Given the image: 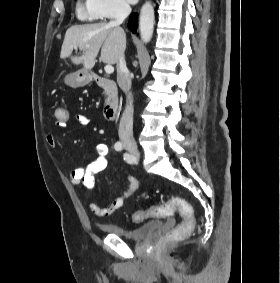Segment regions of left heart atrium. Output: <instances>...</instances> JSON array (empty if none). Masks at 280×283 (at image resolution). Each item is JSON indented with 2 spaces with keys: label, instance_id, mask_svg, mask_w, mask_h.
Segmentation results:
<instances>
[{
  "label": "left heart atrium",
  "instance_id": "left-heart-atrium-1",
  "mask_svg": "<svg viewBox=\"0 0 280 283\" xmlns=\"http://www.w3.org/2000/svg\"><path fill=\"white\" fill-rule=\"evenodd\" d=\"M138 0H128L129 3L135 4Z\"/></svg>",
  "mask_w": 280,
  "mask_h": 283
}]
</instances>
